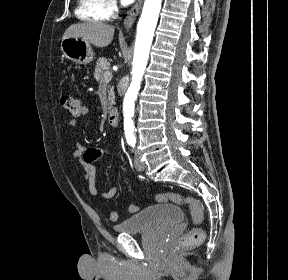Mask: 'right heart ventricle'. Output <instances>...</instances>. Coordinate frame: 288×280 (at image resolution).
Returning a JSON list of instances; mask_svg holds the SVG:
<instances>
[{"mask_svg":"<svg viewBox=\"0 0 288 280\" xmlns=\"http://www.w3.org/2000/svg\"><path fill=\"white\" fill-rule=\"evenodd\" d=\"M76 16L88 22H102L108 18L105 0H78Z\"/></svg>","mask_w":288,"mask_h":280,"instance_id":"e07e8e85","label":"right heart ventricle"}]
</instances>
